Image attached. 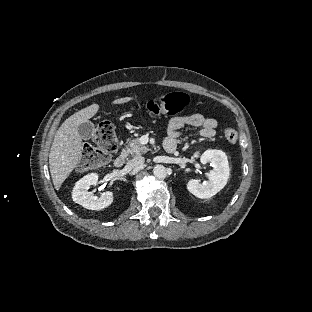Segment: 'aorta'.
Returning <instances> with one entry per match:
<instances>
[{"label": "aorta", "mask_w": 312, "mask_h": 312, "mask_svg": "<svg viewBox=\"0 0 312 312\" xmlns=\"http://www.w3.org/2000/svg\"><path fill=\"white\" fill-rule=\"evenodd\" d=\"M153 173L159 179H164L167 176L166 168L163 165H156L153 168Z\"/></svg>", "instance_id": "aorta-1"}]
</instances>
